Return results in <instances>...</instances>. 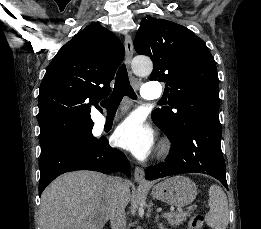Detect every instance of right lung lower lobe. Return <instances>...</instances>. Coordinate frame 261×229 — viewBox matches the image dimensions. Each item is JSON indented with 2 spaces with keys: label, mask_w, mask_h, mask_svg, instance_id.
Returning a JSON list of instances; mask_svg holds the SVG:
<instances>
[{
  "label": "right lung lower lobe",
  "mask_w": 261,
  "mask_h": 229,
  "mask_svg": "<svg viewBox=\"0 0 261 229\" xmlns=\"http://www.w3.org/2000/svg\"><path fill=\"white\" fill-rule=\"evenodd\" d=\"M39 195L59 175L75 170L105 174L121 171L130 176L129 163L119 150L111 148L106 138L95 144L69 142L41 155Z\"/></svg>",
  "instance_id": "98d812e1"
}]
</instances>
